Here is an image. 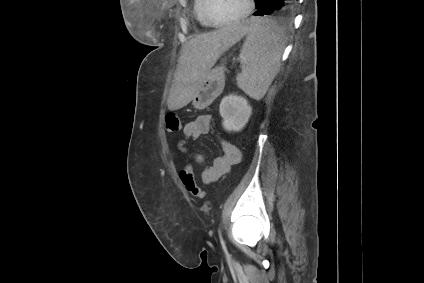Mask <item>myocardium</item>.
Returning a JSON list of instances; mask_svg holds the SVG:
<instances>
[{
  "mask_svg": "<svg viewBox=\"0 0 424 283\" xmlns=\"http://www.w3.org/2000/svg\"><path fill=\"white\" fill-rule=\"evenodd\" d=\"M204 1H205L204 2V17H205V20L210 26H213V27L228 26V25H232V24H235V23H238V22L244 20L245 18H247L252 13V11L254 9V4H255L254 0H247V8L240 16H238L235 19L229 20V21L218 22V21H215L210 14V8H211L212 0H204Z\"/></svg>",
  "mask_w": 424,
  "mask_h": 283,
  "instance_id": "obj_1",
  "label": "myocardium"
}]
</instances>
